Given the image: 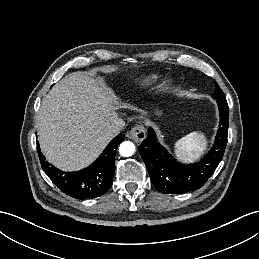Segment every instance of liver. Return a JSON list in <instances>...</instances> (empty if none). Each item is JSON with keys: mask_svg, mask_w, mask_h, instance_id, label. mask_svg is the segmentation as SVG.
<instances>
[{"mask_svg": "<svg viewBox=\"0 0 259 259\" xmlns=\"http://www.w3.org/2000/svg\"><path fill=\"white\" fill-rule=\"evenodd\" d=\"M121 108L102 79L84 72L66 75L43 98L36 116L43 154L64 171L87 167L114 137L109 126L122 119Z\"/></svg>", "mask_w": 259, "mask_h": 259, "instance_id": "1", "label": "liver"}]
</instances>
